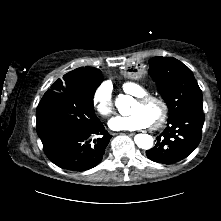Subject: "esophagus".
I'll use <instances>...</instances> for the list:
<instances>
[{"label": "esophagus", "mask_w": 221, "mask_h": 221, "mask_svg": "<svg viewBox=\"0 0 221 221\" xmlns=\"http://www.w3.org/2000/svg\"><path fill=\"white\" fill-rule=\"evenodd\" d=\"M118 134H119V133H116V132H115V133H112L113 136L118 135ZM129 135H130V136H133L134 133H129Z\"/></svg>", "instance_id": "esophagus-1"}]
</instances>
